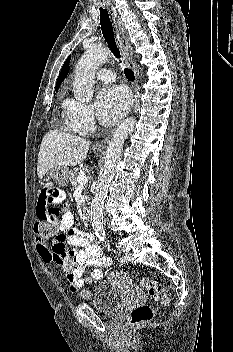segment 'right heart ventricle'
Wrapping results in <instances>:
<instances>
[{
  "mask_svg": "<svg viewBox=\"0 0 233 352\" xmlns=\"http://www.w3.org/2000/svg\"><path fill=\"white\" fill-rule=\"evenodd\" d=\"M62 119L64 120L65 125H66L68 130L76 132V130H75L74 126H73V123H72L70 112H69V110L67 108V101H65V103H64V112L62 114Z\"/></svg>",
  "mask_w": 233,
  "mask_h": 352,
  "instance_id": "1",
  "label": "right heart ventricle"
}]
</instances>
